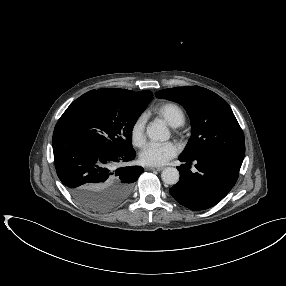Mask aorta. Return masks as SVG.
<instances>
[{"label": "aorta", "instance_id": "762f6f07", "mask_svg": "<svg viewBox=\"0 0 286 286\" xmlns=\"http://www.w3.org/2000/svg\"><path fill=\"white\" fill-rule=\"evenodd\" d=\"M147 136L153 141H167L170 138V133L167 127L160 123H152L147 127ZM179 172L176 168L167 167L161 173V178L164 183L174 185L179 181Z\"/></svg>", "mask_w": 286, "mask_h": 286}]
</instances>
